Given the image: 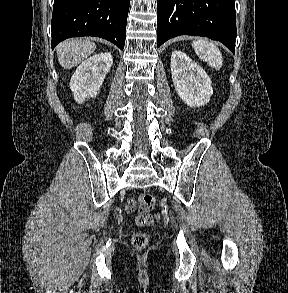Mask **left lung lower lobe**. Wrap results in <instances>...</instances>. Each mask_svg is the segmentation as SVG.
Wrapping results in <instances>:
<instances>
[{
  "mask_svg": "<svg viewBox=\"0 0 288 293\" xmlns=\"http://www.w3.org/2000/svg\"><path fill=\"white\" fill-rule=\"evenodd\" d=\"M179 35L208 37L234 53V0H157V46Z\"/></svg>",
  "mask_w": 288,
  "mask_h": 293,
  "instance_id": "1",
  "label": "left lung lower lobe"
}]
</instances>
